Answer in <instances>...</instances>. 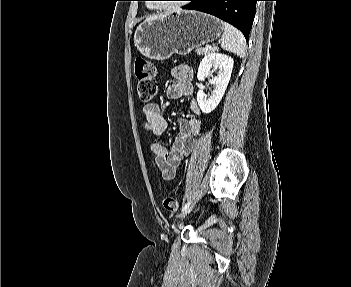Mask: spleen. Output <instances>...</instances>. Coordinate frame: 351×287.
<instances>
[{
    "instance_id": "spleen-1",
    "label": "spleen",
    "mask_w": 351,
    "mask_h": 287,
    "mask_svg": "<svg viewBox=\"0 0 351 287\" xmlns=\"http://www.w3.org/2000/svg\"><path fill=\"white\" fill-rule=\"evenodd\" d=\"M224 33L221 38V47L239 57L245 56L246 42L243 34L232 25L222 22Z\"/></svg>"
}]
</instances>
